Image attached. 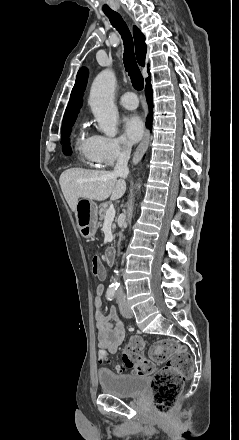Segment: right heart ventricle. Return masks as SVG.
Here are the masks:
<instances>
[{
	"mask_svg": "<svg viewBox=\"0 0 239 440\" xmlns=\"http://www.w3.org/2000/svg\"><path fill=\"white\" fill-rule=\"evenodd\" d=\"M74 146L83 165L87 167H97L99 162L89 150V137H86L83 132L79 131L75 135Z\"/></svg>",
	"mask_w": 239,
	"mask_h": 440,
	"instance_id": "e07e8e85",
	"label": "right heart ventricle"
}]
</instances>
